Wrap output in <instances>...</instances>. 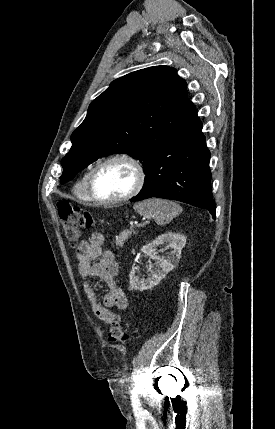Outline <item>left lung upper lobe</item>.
I'll use <instances>...</instances> for the list:
<instances>
[{"label":"left lung upper lobe","mask_w":275,"mask_h":429,"mask_svg":"<svg viewBox=\"0 0 275 429\" xmlns=\"http://www.w3.org/2000/svg\"><path fill=\"white\" fill-rule=\"evenodd\" d=\"M191 102L186 82L174 68L154 66L114 80L93 100L71 135L62 159L63 184L101 156L126 153L143 162L144 171L177 128Z\"/></svg>","instance_id":"5c2ea615"}]
</instances>
